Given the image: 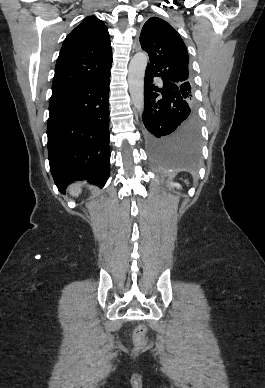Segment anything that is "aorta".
<instances>
[{"label": "aorta", "mask_w": 265, "mask_h": 388, "mask_svg": "<svg viewBox=\"0 0 265 388\" xmlns=\"http://www.w3.org/2000/svg\"><path fill=\"white\" fill-rule=\"evenodd\" d=\"M148 64V56L138 52L131 59L128 70L129 92L136 110L142 114L144 111V75Z\"/></svg>", "instance_id": "obj_1"}]
</instances>
